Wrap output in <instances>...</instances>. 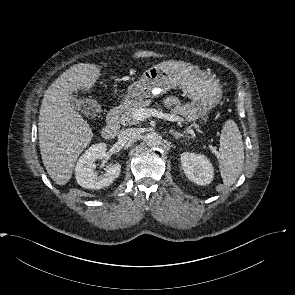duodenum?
I'll return each mask as SVG.
<instances>
[{"mask_svg": "<svg viewBox=\"0 0 295 295\" xmlns=\"http://www.w3.org/2000/svg\"><path fill=\"white\" fill-rule=\"evenodd\" d=\"M121 109V106H117L108 113L107 123L102 131L104 139L111 140L117 135Z\"/></svg>", "mask_w": 295, "mask_h": 295, "instance_id": "obj_1", "label": "duodenum"}]
</instances>
